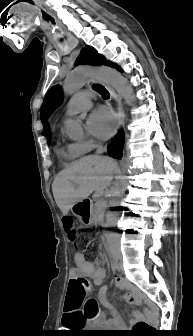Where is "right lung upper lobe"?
I'll return each instance as SVG.
<instances>
[{
	"label": "right lung upper lobe",
	"instance_id": "cb5924a9",
	"mask_svg": "<svg viewBox=\"0 0 193 336\" xmlns=\"http://www.w3.org/2000/svg\"><path fill=\"white\" fill-rule=\"evenodd\" d=\"M47 131H48V127L45 126V127H44V132H45V135H46V136H47Z\"/></svg>",
	"mask_w": 193,
	"mask_h": 336
}]
</instances>
